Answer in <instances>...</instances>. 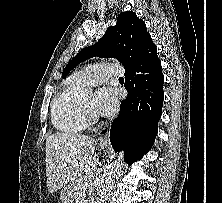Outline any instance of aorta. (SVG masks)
Here are the masks:
<instances>
[{"label":"aorta","mask_w":222,"mask_h":203,"mask_svg":"<svg viewBox=\"0 0 222 203\" xmlns=\"http://www.w3.org/2000/svg\"><path fill=\"white\" fill-rule=\"evenodd\" d=\"M124 152L120 151L118 154V157L116 161L113 163V166L111 167L107 177L105 178V181L102 185L99 197L97 202L98 203H105L111 189L113 188L114 182L117 179V176L121 170L122 162H123Z\"/></svg>","instance_id":"aorta-1"}]
</instances>
